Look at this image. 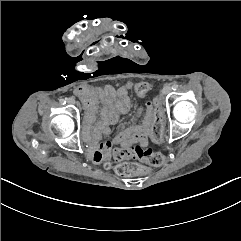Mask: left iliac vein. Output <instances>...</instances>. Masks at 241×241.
<instances>
[{"label":"left iliac vein","instance_id":"obj_1","mask_svg":"<svg viewBox=\"0 0 241 241\" xmlns=\"http://www.w3.org/2000/svg\"><path fill=\"white\" fill-rule=\"evenodd\" d=\"M171 91V87L170 85L166 84L164 87H163V90H162V95L163 96H166L170 93Z\"/></svg>","mask_w":241,"mask_h":241}]
</instances>
